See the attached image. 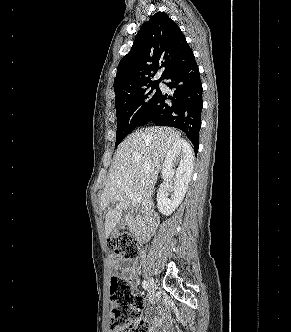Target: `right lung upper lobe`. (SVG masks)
<instances>
[{"label": "right lung upper lobe", "mask_w": 291, "mask_h": 332, "mask_svg": "<svg viewBox=\"0 0 291 332\" xmlns=\"http://www.w3.org/2000/svg\"><path fill=\"white\" fill-rule=\"evenodd\" d=\"M194 58L192 49L178 25L164 12L145 22L130 52L120 61L114 80L115 100L161 81L175 68ZM162 69L159 80L151 78Z\"/></svg>", "instance_id": "cb5924a9"}]
</instances>
